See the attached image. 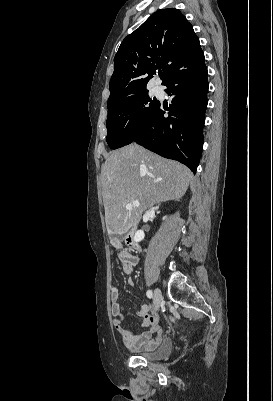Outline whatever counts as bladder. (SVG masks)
Listing matches in <instances>:
<instances>
[{"label": "bladder", "instance_id": "1", "mask_svg": "<svg viewBox=\"0 0 273 401\" xmlns=\"http://www.w3.org/2000/svg\"><path fill=\"white\" fill-rule=\"evenodd\" d=\"M174 350V342L169 337H164L156 351L143 352L139 355L148 361H158L169 357Z\"/></svg>", "mask_w": 273, "mask_h": 401}]
</instances>
